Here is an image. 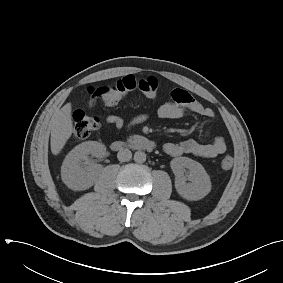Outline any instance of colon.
Wrapping results in <instances>:
<instances>
[{
  "label": "colon",
  "instance_id": "obj_1",
  "mask_svg": "<svg viewBox=\"0 0 283 283\" xmlns=\"http://www.w3.org/2000/svg\"><path fill=\"white\" fill-rule=\"evenodd\" d=\"M138 90L145 95L154 96L158 90V80L155 77L137 79L133 75H127L106 87L102 92V99L108 105H114L127 93ZM100 128V120L96 116L77 110L73 114V135L78 139H85ZM233 165V158L229 155L221 159L220 166L223 170H229Z\"/></svg>",
  "mask_w": 283,
  "mask_h": 283
}]
</instances>
